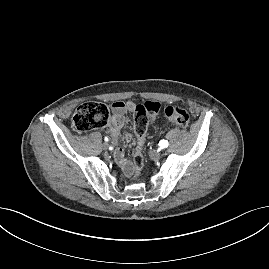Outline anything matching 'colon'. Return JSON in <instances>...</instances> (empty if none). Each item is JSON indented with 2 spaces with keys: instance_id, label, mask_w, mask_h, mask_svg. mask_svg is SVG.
Segmentation results:
<instances>
[{
  "instance_id": "colon-1",
  "label": "colon",
  "mask_w": 269,
  "mask_h": 269,
  "mask_svg": "<svg viewBox=\"0 0 269 269\" xmlns=\"http://www.w3.org/2000/svg\"><path fill=\"white\" fill-rule=\"evenodd\" d=\"M160 111V104L147 101L136 105L134 132L137 137V146L134 154V166L136 173L144 166L145 136L150 119ZM164 115L173 125L185 128L189 124L190 116L182 107L170 105L165 107ZM110 117L107 105L98 102H86L79 105L72 117V127L77 132H87L96 128L104 127Z\"/></svg>"
}]
</instances>
